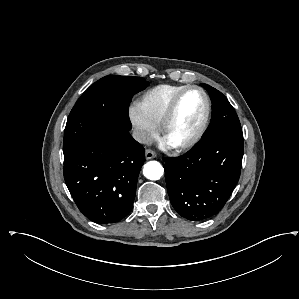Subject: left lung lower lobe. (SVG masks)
<instances>
[{
  "label": "left lung lower lobe",
  "instance_id": "0a47b994",
  "mask_svg": "<svg viewBox=\"0 0 299 299\" xmlns=\"http://www.w3.org/2000/svg\"><path fill=\"white\" fill-rule=\"evenodd\" d=\"M243 144V136L219 134L182 156L164 158L168 194L179 215L201 221L224 206L240 177Z\"/></svg>",
  "mask_w": 299,
  "mask_h": 299
}]
</instances>
